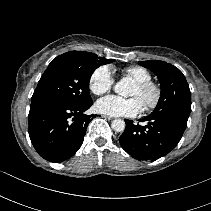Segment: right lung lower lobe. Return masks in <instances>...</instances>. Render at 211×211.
<instances>
[{
  "label": "right lung lower lobe",
  "mask_w": 211,
  "mask_h": 211,
  "mask_svg": "<svg viewBox=\"0 0 211 211\" xmlns=\"http://www.w3.org/2000/svg\"><path fill=\"white\" fill-rule=\"evenodd\" d=\"M92 104L72 107L56 102L31 103L29 136L38 154L55 163L74 155L83 142L88 122L95 116L84 114Z\"/></svg>",
  "instance_id": "98d812e1"
}]
</instances>
